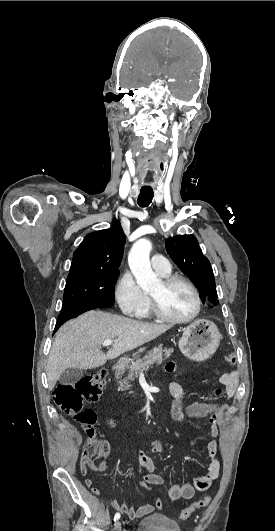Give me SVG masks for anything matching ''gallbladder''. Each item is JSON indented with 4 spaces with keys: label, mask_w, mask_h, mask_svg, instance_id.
<instances>
[{
    "label": "gallbladder",
    "mask_w": 275,
    "mask_h": 531,
    "mask_svg": "<svg viewBox=\"0 0 275 531\" xmlns=\"http://www.w3.org/2000/svg\"><path fill=\"white\" fill-rule=\"evenodd\" d=\"M84 375L83 369H66L59 379L61 385H75Z\"/></svg>",
    "instance_id": "bac80fb5"
}]
</instances>
